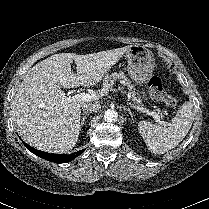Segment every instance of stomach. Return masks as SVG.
Here are the masks:
<instances>
[{"instance_id": "1", "label": "stomach", "mask_w": 209, "mask_h": 209, "mask_svg": "<svg viewBox=\"0 0 209 209\" xmlns=\"http://www.w3.org/2000/svg\"><path fill=\"white\" fill-rule=\"evenodd\" d=\"M126 58L128 60L127 70L131 79L137 84H146L155 67L153 53L144 46L131 45L126 52Z\"/></svg>"}]
</instances>
